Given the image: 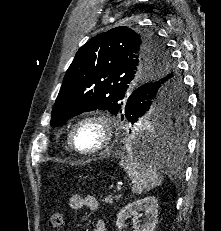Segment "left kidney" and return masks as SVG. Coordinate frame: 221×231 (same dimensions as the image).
<instances>
[{
	"mask_svg": "<svg viewBox=\"0 0 221 231\" xmlns=\"http://www.w3.org/2000/svg\"><path fill=\"white\" fill-rule=\"evenodd\" d=\"M158 208V200L154 196L129 203L119 211L116 226L121 231L125 227V221L133 217V231H154L158 223ZM140 211H143L146 217L143 224L137 220Z\"/></svg>",
	"mask_w": 221,
	"mask_h": 231,
	"instance_id": "5707ae66",
	"label": "left kidney"
}]
</instances>
